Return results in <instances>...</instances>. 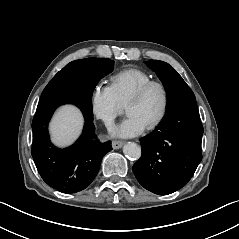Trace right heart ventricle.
I'll list each match as a JSON object with an SVG mask.
<instances>
[{"instance_id":"right-heart-ventricle-1","label":"right heart ventricle","mask_w":239,"mask_h":239,"mask_svg":"<svg viewBox=\"0 0 239 239\" xmlns=\"http://www.w3.org/2000/svg\"><path fill=\"white\" fill-rule=\"evenodd\" d=\"M152 76L139 68H126L110 77L111 86L123 105L131 95L143 84L152 80Z\"/></svg>"}]
</instances>
